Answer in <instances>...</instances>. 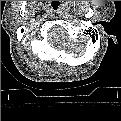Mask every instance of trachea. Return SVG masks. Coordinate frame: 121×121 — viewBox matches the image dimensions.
<instances>
[{"instance_id": "obj_1", "label": "trachea", "mask_w": 121, "mask_h": 121, "mask_svg": "<svg viewBox=\"0 0 121 121\" xmlns=\"http://www.w3.org/2000/svg\"><path fill=\"white\" fill-rule=\"evenodd\" d=\"M51 7H52V9H54V10H58V9L61 7V4H60L59 1H52Z\"/></svg>"}]
</instances>
